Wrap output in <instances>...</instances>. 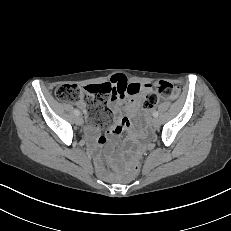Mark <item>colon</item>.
<instances>
[{
	"mask_svg": "<svg viewBox=\"0 0 231 231\" xmlns=\"http://www.w3.org/2000/svg\"><path fill=\"white\" fill-rule=\"evenodd\" d=\"M113 88L109 84H94L87 86L84 90L75 84H63L56 88L55 97L60 101L78 103L81 101L84 93L86 94V103L84 111L89 114L91 122L97 126L107 125L112 113L106 105V100L110 97ZM177 95V89L167 81H160L152 86V91L148 92L143 100L146 108L154 107L159 97L174 98ZM141 169V160L136 157L133 159L130 167L132 175H137Z\"/></svg>",
	"mask_w": 231,
	"mask_h": 231,
	"instance_id": "colon-1",
	"label": "colon"
}]
</instances>
